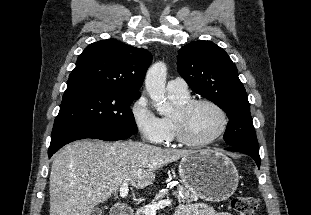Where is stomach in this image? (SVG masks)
<instances>
[{"label": "stomach", "instance_id": "stomach-1", "mask_svg": "<svg viewBox=\"0 0 311 215\" xmlns=\"http://www.w3.org/2000/svg\"><path fill=\"white\" fill-rule=\"evenodd\" d=\"M179 175L188 190L210 202L230 198L239 182V174L233 162L215 150L195 151L182 158Z\"/></svg>", "mask_w": 311, "mask_h": 215}]
</instances>
